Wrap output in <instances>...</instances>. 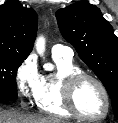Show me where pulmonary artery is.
<instances>
[{
  "mask_svg": "<svg viewBox=\"0 0 118 123\" xmlns=\"http://www.w3.org/2000/svg\"><path fill=\"white\" fill-rule=\"evenodd\" d=\"M52 57H61L68 60H71L73 58V50L65 45L62 44H56L51 49Z\"/></svg>",
  "mask_w": 118,
  "mask_h": 123,
  "instance_id": "pulmonary-artery-1",
  "label": "pulmonary artery"
}]
</instances>
